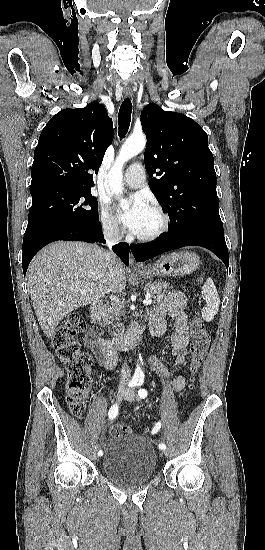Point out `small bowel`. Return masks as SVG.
Returning <instances> with one entry per match:
<instances>
[{
	"label": "small bowel",
	"instance_id": "c3829d8e",
	"mask_svg": "<svg viewBox=\"0 0 265 550\" xmlns=\"http://www.w3.org/2000/svg\"><path fill=\"white\" fill-rule=\"evenodd\" d=\"M187 304L186 296L180 291H172L150 311L149 328L153 335L166 339L173 349V361L178 367L187 362V347L189 332L184 309ZM174 322L173 330L168 328V319ZM84 344L97 356L99 364L107 370H112L117 364L116 351L99 338L93 331H88L83 339ZM149 363L153 370L162 378H166L167 370L156 358H150ZM175 391H182L186 386L183 374L172 380Z\"/></svg>",
	"mask_w": 265,
	"mask_h": 550
}]
</instances>
